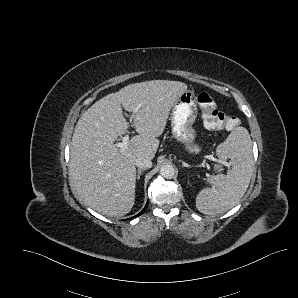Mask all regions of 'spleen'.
<instances>
[{
  "label": "spleen",
  "instance_id": "3e777b00",
  "mask_svg": "<svg viewBox=\"0 0 298 298\" xmlns=\"http://www.w3.org/2000/svg\"><path fill=\"white\" fill-rule=\"evenodd\" d=\"M219 161L231 160L227 174L219 172L221 162L206 179L207 187L197 196L196 207L206 215L221 214L236 205L245 194L253 171V149L249 132L238 127L215 149Z\"/></svg>",
  "mask_w": 298,
  "mask_h": 298
}]
</instances>
